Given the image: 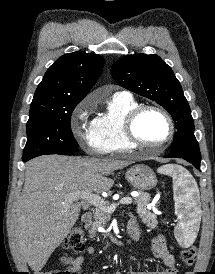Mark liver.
<instances>
[{"mask_svg":"<svg viewBox=\"0 0 215 274\" xmlns=\"http://www.w3.org/2000/svg\"><path fill=\"white\" fill-rule=\"evenodd\" d=\"M131 161L108 158L42 156L26 164L25 183L13 219V239L30 268L39 273L75 225L82 203L75 191H108L113 171Z\"/></svg>","mask_w":215,"mask_h":274,"instance_id":"obj_1","label":"liver"}]
</instances>
